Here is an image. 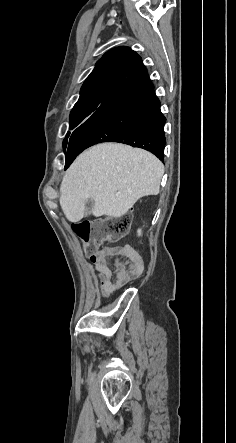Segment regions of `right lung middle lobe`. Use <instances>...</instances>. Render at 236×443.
<instances>
[{"label":"right lung middle lobe","instance_id":"right-lung-middle-lobe-1","mask_svg":"<svg viewBox=\"0 0 236 443\" xmlns=\"http://www.w3.org/2000/svg\"><path fill=\"white\" fill-rule=\"evenodd\" d=\"M109 96H99L89 99L83 103L77 104L73 107L70 114V129L76 128L70 136V132L67 133L63 146L67 147V144L71 143L75 133L79 130V127L86 122L89 117L95 112V110L108 98ZM70 136L69 143L67 138Z\"/></svg>","mask_w":236,"mask_h":443}]
</instances>
